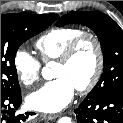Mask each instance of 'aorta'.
I'll return each mask as SVG.
<instances>
[{
    "label": "aorta",
    "instance_id": "762f6f07",
    "mask_svg": "<svg viewBox=\"0 0 123 123\" xmlns=\"http://www.w3.org/2000/svg\"><path fill=\"white\" fill-rule=\"evenodd\" d=\"M52 62L46 64V66L42 69V76L46 80H51L53 78V71L51 70ZM57 123H73L70 117H62Z\"/></svg>",
    "mask_w": 123,
    "mask_h": 123
}]
</instances>
